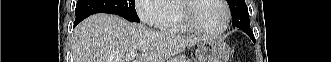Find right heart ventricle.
<instances>
[{
    "instance_id": "right-heart-ventricle-1",
    "label": "right heart ventricle",
    "mask_w": 331,
    "mask_h": 62,
    "mask_svg": "<svg viewBox=\"0 0 331 62\" xmlns=\"http://www.w3.org/2000/svg\"><path fill=\"white\" fill-rule=\"evenodd\" d=\"M159 14L164 18L158 27L160 31L167 33L189 32L188 28L182 22L179 3L177 1H166L159 9Z\"/></svg>"
}]
</instances>
